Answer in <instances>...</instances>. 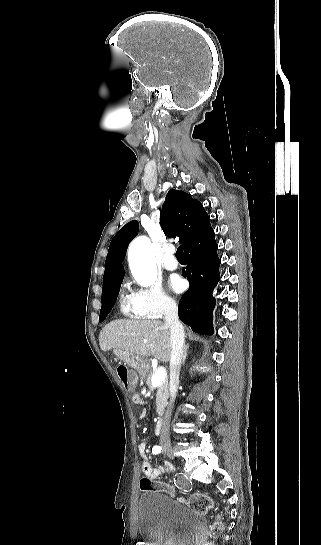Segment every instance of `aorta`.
<instances>
[{
	"label": "aorta",
	"instance_id": "obj_1",
	"mask_svg": "<svg viewBox=\"0 0 321 545\" xmlns=\"http://www.w3.org/2000/svg\"><path fill=\"white\" fill-rule=\"evenodd\" d=\"M129 266L135 280L145 287L156 279V261L149 238L141 236L132 241L128 251Z\"/></svg>",
	"mask_w": 321,
	"mask_h": 545
}]
</instances>
